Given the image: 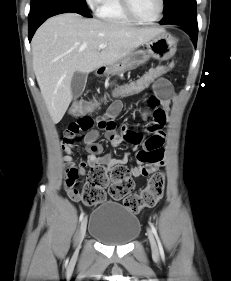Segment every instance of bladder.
<instances>
[{"label":"bladder","mask_w":231,"mask_h":281,"mask_svg":"<svg viewBox=\"0 0 231 281\" xmlns=\"http://www.w3.org/2000/svg\"><path fill=\"white\" fill-rule=\"evenodd\" d=\"M141 230L135 214L116 202H105L93 210L89 234L102 244L127 245L137 238Z\"/></svg>","instance_id":"31cf9c89"}]
</instances>
